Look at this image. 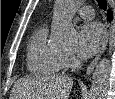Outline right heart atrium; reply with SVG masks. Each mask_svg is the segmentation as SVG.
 Wrapping results in <instances>:
<instances>
[{
    "instance_id": "obj_1",
    "label": "right heart atrium",
    "mask_w": 115,
    "mask_h": 99,
    "mask_svg": "<svg viewBox=\"0 0 115 99\" xmlns=\"http://www.w3.org/2000/svg\"><path fill=\"white\" fill-rule=\"evenodd\" d=\"M76 63V59L73 53L67 52L64 53V66L72 67Z\"/></svg>"
}]
</instances>
